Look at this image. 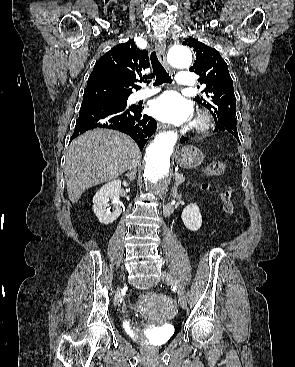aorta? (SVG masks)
Returning a JSON list of instances; mask_svg holds the SVG:
<instances>
[{
    "label": "aorta",
    "instance_id": "aorta-1",
    "mask_svg": "<svg viewBox=\"0 0 295 367\" xmlns=\"http://www.w3.org/2000/svg\"><path fill=\"white\" fill-rule=\"evenodd\" d=\"M168 63L176 68H187L192 64V54L187 47L174 46L167 55ZM178 140L174 131L160 132L146 150L144 177L147 185L158 189L169 179L170 156Z\"/></svg>",
    "mask_w": 295,
    "mask_h": 367
}]
</instances>
